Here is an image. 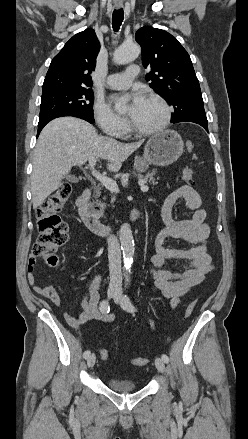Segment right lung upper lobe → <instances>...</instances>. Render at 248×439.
Instances as JSON below:
<instances>
[{
    "label": "right lung upper lobe",
    "instance_id": "cb5924a9",
    "mask_svg": "<svg viewBox=\"0 0 248 439\" xmlns=\"http://www.w3.org/2000/svg\"><path fill=\"white\" fill-rule=\"evenodd\" d=\"M100 44L93 29L74 35L51 61L42 95L62 90L92 86L90 73Z\"/></svg>",
    "mask_w": 248,
    "mask_h": 439
}]
</instances>
